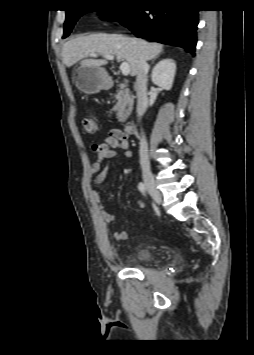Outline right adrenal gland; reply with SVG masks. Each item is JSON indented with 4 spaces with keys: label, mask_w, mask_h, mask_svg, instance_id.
I'll return each mask as SVG.
<instances>
[{
    "label": "right adrenal gland",
    "mask_w": 254,
    "mask_h": 355,
    "mask_svg": "<svg viewBox=\"0 0 254 355\" xmlns=\"http://www.w3.org/2000/svg\"><path fill=\"white\" fill-rule=\"evenodd\" d=\"M156 59H157V56H156V57H154V59H153L152 63H153Z\"/></svg>",
    "instance_id": "right-adrenal-gland-1"
}]
</instances>
